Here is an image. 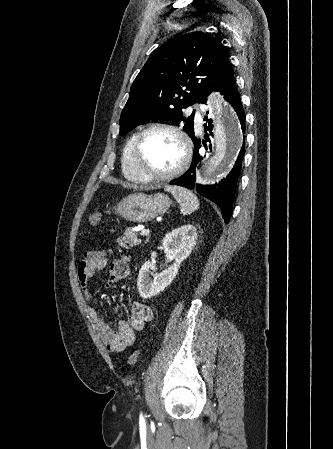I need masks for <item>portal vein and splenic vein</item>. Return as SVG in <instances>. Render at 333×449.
Here are the masks:
<instances>
[{
  "instance_id": "18ae733b",
  "label": "portal vein and splenic vein",
  "mask_w": 333,
  "mask_h": 449,
  "mask_svg": "<svg viewBox=\"0 0 333 449\" xmlns=\"http://www.w3.org/2000/svg\"><path fill=\"white\" fill-rule=\"evenodd\" d=\"M149 232H150L149 229H144V230H141L140 235L141 236H148Z\"/></svg>"
}]
</instances>
